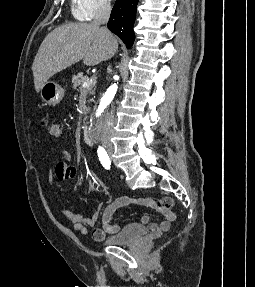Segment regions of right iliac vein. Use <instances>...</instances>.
I'll use <instances>...</instances> for the list:
<instances>
[{
    "mask_svg": "<svg viewBox=\"0 0 255 287\" xmlns=\"http://www.w3.org/2000/svg\"><path fill=\"white\" fill-rule=\"evenodd\" d=\"M107 152H108L109 154H111V153H112V149H111V148L107 149Z\"/></svg>",
    "mask_w": 255,
    "mask_h": 287,
    "instance_id": "63e3f726",
    "label": "right iliac vein"
}]
</instances>
